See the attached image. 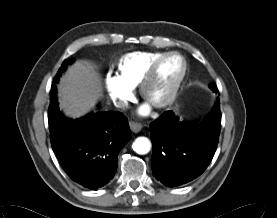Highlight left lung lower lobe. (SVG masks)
Listing matches in <instances>:
<instances>
[{
    "mask_svg": "<svg viewBox=\"0 0 277 218\" xmlns=\"http://www.w3.org/2000/svg\"><path fill=\"white\" fill-rule=\"evenodd\" d=\"M220 129L219 98L209 115L192 123L166 111L150 124L154 177L174 187L200 176L214 156Z\"/></svg>",
    "mask_w": 277,
    "mask_h": 218,
    "instance_id": "0a47b994",
    "label": "left lung lower lobe"
}]
</instances>
